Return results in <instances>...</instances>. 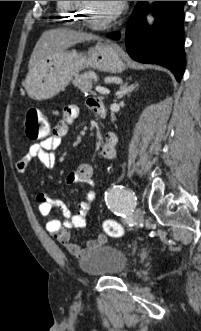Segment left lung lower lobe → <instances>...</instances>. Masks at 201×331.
Returning a JSON list of instances; mask_svg holds the SVG:
<instances>
[{"instance_id":"1","label":"left lung lower lobe","mask_w":201,"mask_h":331,"mask_svg":"<svg viewBox=\"0 0 201 331\" xmlns=\"http://www.w3.org/2000/svg\"><path fill=\"white\" fill-rule=\"evenodd\" d=\"M186 1H155L152 11L156 21L149 27L145 14L146 1H138L131 14L125 34L128 54L141 63H156L170 69L177 81L184 73V32L182 28ZM118 38V33L110 35Z\"/></svg>"}]
</instances>
